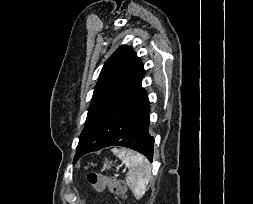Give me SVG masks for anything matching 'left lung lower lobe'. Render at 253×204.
<instances>
[{
    "instance_id": "0a47b994",
    "label": "left lung lower lobe",
    "mask_w": 253,
    "mask_h": 204,
    "mask_svg": "<svg viewBox=\"0 0 253 204\" xmlns=\"http://www.w3.org/2000/svg\"><path fill=\"white\" fill-rule=\"evenodd\" d=\"M149 112V99L140 85L128 97L87 126L74 162L86 153L108 146L136 150L152 162L154 138L148 132Z\"/></svg>"
}]
</instances>
